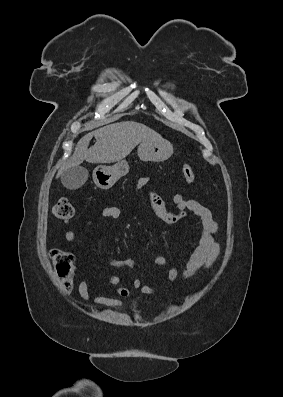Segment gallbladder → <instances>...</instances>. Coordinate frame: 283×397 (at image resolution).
Here are the masks:
<instances>
[{"mask_svg": "<svg viewBox=\"0 0 283 397\" xmlns=\"http://www.w3.org/2000/svg\"><path fill=\"white\" fill-rule=\"evenodd\" d=\"M87 179V169L80 166L68 168L61 175V182L63 186L69 190H76L82 187Z\"/></svg>", "mask_w": 283, "mask_h": 397, "instance_id": "gallbladder-1", "label": "gallbladder"}]
</instances>
